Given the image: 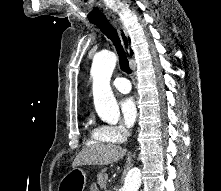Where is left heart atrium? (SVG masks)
I'll use <instances>...</instances> for the list:
<instances>
[{
	"label": "left heart atrium",
	"mask_w": 221,
	"mask_h": 191,
	"mask_svg": "<svg viewBox=\"0 0 221 191\" xmlns=\"http://www.w3.org/2000/svg\"><path fill=\"white\" fill-rule=\"evenodd\" d=\"M123 121L127 127H132L137 119V104L133 97H125L120 104Z\"/></svg>",
	"instance_id": "left-heart-atrium-1"
}]
</instances>
